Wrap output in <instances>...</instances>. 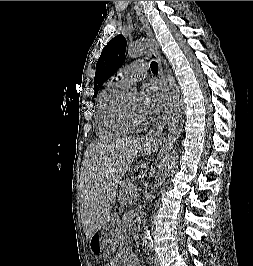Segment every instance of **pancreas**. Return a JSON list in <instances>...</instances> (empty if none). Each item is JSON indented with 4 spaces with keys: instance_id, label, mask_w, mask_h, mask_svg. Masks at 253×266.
Instances as JSON below:
<instances>
[{
    "instance_id": "cf45deb5",
    "label": "pancreas",
    "mask_w": 253,
    "mask_h": 266,
    "mask_svg": "<svg viewBox=\"0 0 253 266\" xmlns=\"http://www.w3.org/2000/svg\"><path fill=\"white\" fill-rule=\"evenodd\" d=\"M133 193L136 194L135 186L130 181L123 182L120 190V202L126 204L127 201H131Z\"/></svg>"
}]
</instances>
